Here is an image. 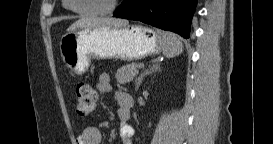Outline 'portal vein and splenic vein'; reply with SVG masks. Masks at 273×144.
<instances>
[{
  "instance_id": "1",
  "label": "portal vein and splenic vein",
  "mask_w": 273,
  "mask_h": 144,
  "mask_svg": "<svg viewBox=\"0 0 273 144\" xmlns=\"http://www.w3.org/2000/svg\"><path fill=\"white\" fill-rule=\"evenodd\" d=\"M144 67L143 63L138 64V69H142Z\"/></svg>"
}]
</instances>
